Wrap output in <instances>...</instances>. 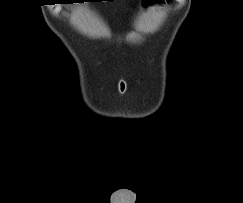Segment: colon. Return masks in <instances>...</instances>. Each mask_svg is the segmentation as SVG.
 <instances>
[{
  "label": "colon",
  "instance_id": "5ec220e1",
  "mask_svg": "<svg viewBox=\"0 0 243 203\" xmlns=\"http://www.w3.org/2000/svg\"><path fill=\"white\" fill-rule=\"evenodd\" d=\"M170 0H144V7L145 9L149 8L152 6V3H156L158 5H163V4H168Z\"/></svg>",
  "mask_w": 243,
  "mask_h": 203
}]
</instances>
